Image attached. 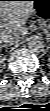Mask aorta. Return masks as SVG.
<instances>
[{
	"mask_svg": "<svg viewBox=\"0 0 50 111\" xmlns=\"http://www.w3.org/2000/svg\"><path fill=\"white\" fill-rule=\"evenodd\" d=\"M27 45L29 49L35 52L43 51L45 44L43 39L40 36L34 35L28 39Z\"/></svg>",
	"mask_w": 50,
	"mask_h": 111,
	"instance_id": "aorta-1",
	"label": "aorta"
}]
</instances>
